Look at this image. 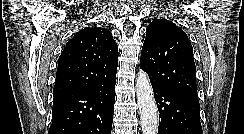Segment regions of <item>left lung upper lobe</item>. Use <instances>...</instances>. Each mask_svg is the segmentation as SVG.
I'll return each instance as SVG.
<instances>
[{
	"mask_svg": "<svg viewBox=\"0 0 244 134\" xmlns=\"http://www.w3.org/2000/svg\"><path fill=\"white\" fill-rule=\"evenodd\" d=\"M140 68L153 88L197 94L193 48L187 34L166 19H154L146 29Z\"/></svg>",
	"mask_w": 244,
	"mask_h": 134,
	"instance_id": "1",
	"label": "left lung upper lobe"
}]
</instances>
